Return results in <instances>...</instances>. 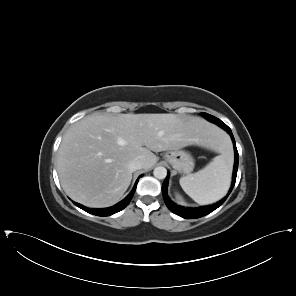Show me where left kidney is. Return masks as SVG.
Here are the masks:
<instances>
[{
	"mask_svg": "<svg viewBox=\"0 0 296 296\" xmlns=\"http://www.w3.org/2000/svg\"><path fill=\"white\" fill-rule=\"evenodd\" d=\"M176 197H177L178 199H180V196H179L178 194H176Z\"/></svg>",
	"mask_w": 296,
	"mask_h": 296,
	"instance_id": "5707ae66",
	"label": "left kidney"
}]
</instances>
